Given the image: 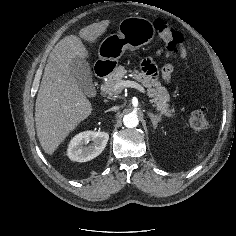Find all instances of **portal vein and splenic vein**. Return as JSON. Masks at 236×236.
<instances>
[{"label":"portal vein and splenic vein","mask_w":236,"mask_h":236,"mask_svg":"<svg viewBox=\"0 0 236 236\" xmlns=\"http://www.w3.org/2000/svg\"><path fill=\"white\" fill-rule=\"evenodd\" d=\"M124 87L135 88L144 94L146 93L145 89L140 84H138L137 82H134V81H130V80L121 81V82L117 83L115 85L114 89L115 90H122Z\"/></svg>","instance_id":"18ae733b"}]
</instances>
